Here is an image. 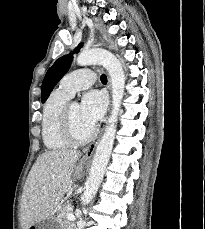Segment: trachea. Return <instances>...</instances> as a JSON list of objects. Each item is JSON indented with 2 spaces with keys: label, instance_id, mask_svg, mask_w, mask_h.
Listing matches in <instances>:
<instances>
[{
  "label": "trachea",
  "instance_id": "trachea-1",
  "mask_svg": "<svg viewBox=\"0 0 205 229\" xmlns=\"http://www.w3.org/2000/svg\"><path fill=\"white\" fill-rule=\"evenodd\" d=\"M100 79H101V82L102 83H107V77H106L105 74H102L101 77H100Z\"/></svg>",
  "mask_w": 205,
  "mask_h": 229
}]
</instances>
